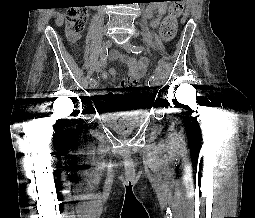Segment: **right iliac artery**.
Returning a JSON list of instances; mask_svg holds the SVG:
<instances>
[{"mask_svg": "<svg viewBox=\"0 0 255 218\" xmlns=\"http://www.w3.org/2000/svg\"><path fill=\"white\" fill-rule=\"evenodd\" d=\"M108 56V48H103L102 51H101V59L100 61L98 62V66H97V69L100 70V68L103 66V64L106 62V58ZM95 82V79L94 78H91L90 79V83H93Z\"/></svg>", "mask_w": 255, "mask_h": 218, "instance_id": "1", "label": "right iliac artery"}]
</instances>
